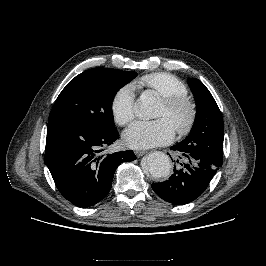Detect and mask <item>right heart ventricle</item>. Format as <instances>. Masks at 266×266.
<instances>
[{
  "instance_id": "1",
  "label": "right heart ventricle",
  "mask_w": 266,
  "mask_h": 266,
  "mask_svg": "<svg viewBox=\"0 0 266 266\" xmlns=\"http://www.w3.org/2000/svg\"><path fill=\"white\" fill-rule=\"evenodd\" d=\"M138 87H146L160 97L186 95V85L176 76L166 72H155L142 76L136 82Z\"/></svg>"
}]
</instances>
